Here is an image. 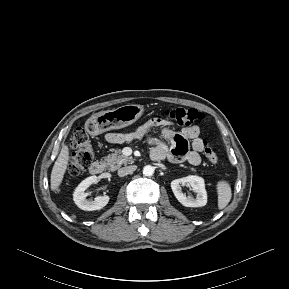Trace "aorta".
I'll return each instance as SVG.
<instances>
[{
	"label": "aorta",
	"mask_w": 289,
	"mask_h": 289,
	"mask_svg": "<svg viewBox=\"0 0 289 289\" xmlns=\"http://www.w3.org/2000/svg\"><path fill=\"white\" fill-rule=\"evenodd\" d=\"M143 174L145 176H152L154 174V167L151 166V165H146L144 168H143Z\"/></svg>",
	"instance_id": "aorta-1"
}]
</instances>
